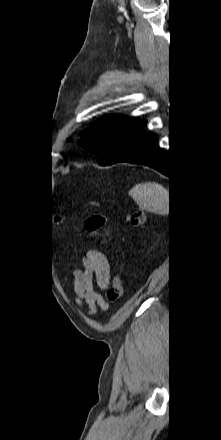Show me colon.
<instances>
[{
	"label": "colon",
	"mask_w": 221,
	"mask_h": 440,
	"mask_svg": "<svg viewBox=\"0 0 221 440\" xmlns=\"http://www.w3.org/2000/svg\"><path fill=\"white\" fill-rule=\"evenodd\" d=\"M128 222L132 226H142L145 222V214L143 211L136 210L128 215ZM106 218L101 216L89 217L84 222V228L92 233L96 234L105 224ZM124 296V285L121 278L116 275L111 281V285L107 292V298L111 302H118Z\"/></svg>",
	"instance_id": "obj_1"
}]
</instances>
